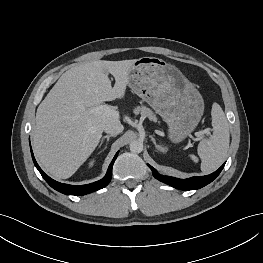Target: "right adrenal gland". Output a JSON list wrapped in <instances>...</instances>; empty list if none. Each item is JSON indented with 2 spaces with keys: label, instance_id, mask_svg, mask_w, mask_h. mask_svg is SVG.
I'll return each instance as SVG.
<instances>
[{
  "label": "right adrenal gland",
  "instance_id": "2a0ac1e0",
  "mask_svg": "<svg viewBox=\"0 0 263 263\" xmlns=\"http://www.w3.org/2000/svg\"><path fill=\"white\" fill-rule=\"evenodd\" d=\"M111 137H114V135H106V136H104V137L101 139V141H100L99 147H101L103 141L106 139V140H107V143H106L105 148H104V149H106V148H107V145H108V142H109V139H110Z\"/></svg>",
  "mask_w": 263,
  "mask_h": 263
}]
</instances>
